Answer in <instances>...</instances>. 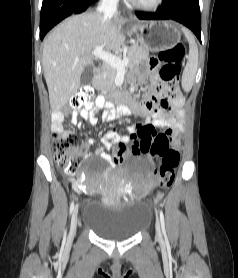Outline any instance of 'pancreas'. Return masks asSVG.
<instances>
[{"label": "pancreas", "mask_w": 238, "mask_h": 278, "mask_svg": "<svg viewBox=\"0 0 238 278\" xmlns=\"http://www.w3.org/2000/svg\"><path fill=\"white\" fill-rule=\"evenodd\" d=\"M149 51L144 47L132 46L127 52L119 54L120 58H128V68H133L144 59L148 58ZM117 69L105 63L102 67L101 73L96 77L93 85L102 93H109L115 89V78Z\"/></svg>", "instance_id": "obj_1"}]
</instances>
